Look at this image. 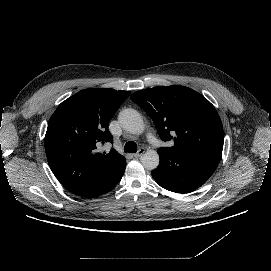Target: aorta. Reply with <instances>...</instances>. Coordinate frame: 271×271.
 <instances>
[{
  "label": "aorta",
  "mask_w": 271,
  "mask_h": 271,
  "mask_svg": "<svg viewBox=\"0 0 271 271\" xmlns=\"http://www.w3.org/2000/svg\"><path fill=\"white\" fill-rule=\"evenodd\" d=\"M119 120L123 128L134 135H139L145 131V123L142 115L134 109L122 110ZM143 167L147 170L156 169L159 165V154L156 150H147L140 158Z\"/></svg>",
  "instance_id": "762f6f07"
}]
</instances>
